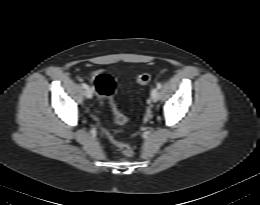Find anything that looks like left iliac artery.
Here are the masks:
<instances>
[{
    "instance_id": "left-iliac-artery-1",
    "label": "left iliac artery",
    "mask_w": 260,
    "mask_h": 205,
    "mask_svg": "<svg viewBox=\"0 0 260 205\" xmlns=\"http://www.w3.org/2000/svg\"><path fill=\"white\" fill-rule=\"evenodd\" d=\"M161 87H162V84L161 83H157V88L161 89Z\"/></svg>"
}]
</instances>
